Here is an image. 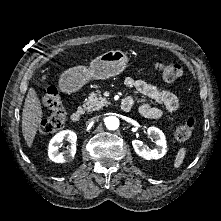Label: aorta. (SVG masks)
Masks as SVG:
<instances>
[{"label":"aorta","mask_w":221,"mask_h":221,"mask_svg":"<svg viewBox=\"0 0 221 221\" xmlns=\"http://www.w3.org/2000/svg\"><path fill=\"white\" fill-rule=\"evenodd\" d=\"M105 125L108 130H116L119 127V119L115 116H109L105 119Z\"/></svg>","instance_id":"762f6f07"}]
</instances>
